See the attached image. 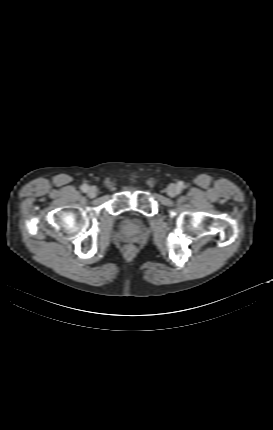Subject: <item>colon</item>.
Masks as SVG:
<instances>
[{
    "label": "colon",
    "instance_id": "colon-1",
    "mask_svg": "<svg viewBox=\"0 0 273 430\" xmlns=\"http://www.w3.org/2000/svg\"><path fill=\"white\" fill-rule=\"evenodd\" d=\"M151 185H152V183H150ZM126 251L127 252H132L133 251V247L131 246V245H128L127 247H126Z\"/></svg>",
    "mask_w": 273,
    "mask_h": 430
}]
</instances>
